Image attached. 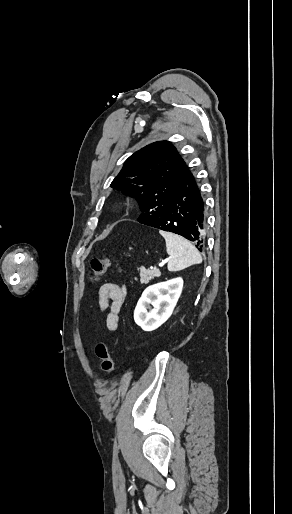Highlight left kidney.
<instances>
[{
    "label": "left kidney",
    "mask_w": 292,
    "mask_h": 514,
    "mask_svg": "<svg viewBox=\"0 0 292 514\" xmlns=\"http://www.w3.org/2000/svg\"><path fill=\"white\" fill-rule=\"evenodd\" d=\"M182 288V278H173L167 282L148 286L134 310L136 324L145 332L157 330L170 318L181 296Z\"/></svg>",
    "instance_id": "obj_1"
}]
</instances>
